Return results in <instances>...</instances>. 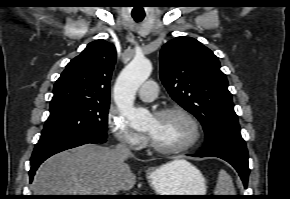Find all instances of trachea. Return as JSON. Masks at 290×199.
Returning a JSON list of instances; mask_svg holds the SVG:
<instances>
[{"mask_svg":"<svg viewBox=\"0 0 290 199\" xmlns=\"http://www.w3.org/2000/svg\"><path fill=\"white\" fill-rule=\"evenodd\" d=\"M133 18L136 22H140L143 20L144 16H133Z\"/></svg>","mask_w":290,"mask_h":199,"instance_id":"3493384b","label":"trachea"}]
</instances>
